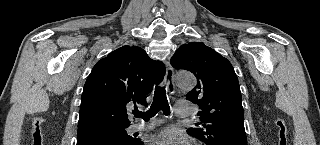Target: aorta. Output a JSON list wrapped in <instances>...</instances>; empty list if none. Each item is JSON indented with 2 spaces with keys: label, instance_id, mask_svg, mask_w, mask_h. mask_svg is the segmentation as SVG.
Masks as SVG:
<instances>
[{
  "label": "aorta",
  "instance_id": "aorta-1",
  "mask_svg": "<svg viewBox=\"0 0 320 145\" xmlns=\"http://www.w3.org/2000/svg\"><path fill=\"white\" fill-rule=\"evenodd\" d=\"M177 85L182 89H192L196 85V79L191 73L178 72L176 74Z\"/></svg>",
  "mask_w": 320,
  "mask_h": 145
}]
</instances>
